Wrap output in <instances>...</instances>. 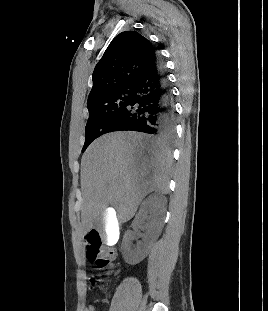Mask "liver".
I'll use <instances>...</instances> for the list:
<instances>
[{
    "label": "liver",
    "mask_w": 268,
    "mask_h": 311,
    "mask_svg": "<svg viewBox=\"0 0 268 311\" xmlns=\"http://www.w3.org/2000/svg\"><path fill=\"white\" fill-rule=\"evenodd\" d=\"M171 164L170 153L150 146L142 134L114 132L96 139L81 159V230L96 227L108 206L125 223L147 194H167Z\"/></svg>",
    "instance_id": "obj_1"
}]
</instances>
